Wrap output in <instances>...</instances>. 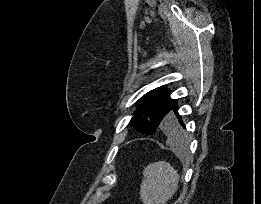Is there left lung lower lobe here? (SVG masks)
I'll return each mask as SVG.
<instances>
[{"mask_svg": "<svg viewBox=\"0 0 261 204\" xmlns=\"http://www.w3.org/2000/svg\"><path fill=\"white\" fill-rule=\"evenodd\" d=\"M176 117L178 118L179 124L185 128V125L183 124L181 120V116L178 114V107L176 105V102L171 110ZM179 124L171 117V114L169 116V119L165 122V124L162 127V130L167 133L172 139L178 140L182 138V131Z\"/></svg>", "mask_w": 261, "mask_h": 204, "instance_id": "1", "label": "left lung lower lobe"}]
</instances>
